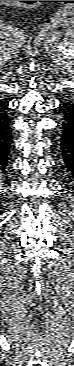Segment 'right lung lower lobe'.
Returning a JSON list of instances; mask_svg holds the SVG:
<instances>
[{"mask_svg": "<svg viewBox=\"0 0 74 366\" xmlns=\"http://www.w3.org/2000/svg\"><path fill=\"white\" fill-rule=\"evenodd\" d=\"M6 104L0 100V167L5 168L11 148L10 122L6 115Z\"/></svg>", "mask_w": 74, "mask_h": 366, "instance_id": "98d812e1", "label": "right lung lower lobe"}]
</instances>
